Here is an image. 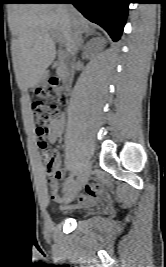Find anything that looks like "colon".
Wrapping results in <instances>:
<instances>
[{
    "mask_svg": "<svg viewBox=\"0 0 166 267\" xmlns=\"http://www.w3.org/2000/svg\"><path fill=\"white\" fill-rule=\"evenodd\" d=\"M67 102L64 85L58 78L51 79L36 91L31 107L37 123V136L42 158L46 161L44 172L48 178L57 174L53 164V152L46 142L50 125L62 117L59 105Z\"/></svg>",
    "mask_w": 166,
    "mask_h": 267,
    "instance_id": "obj_1",
    "label": "colon"
}]
</instances>
